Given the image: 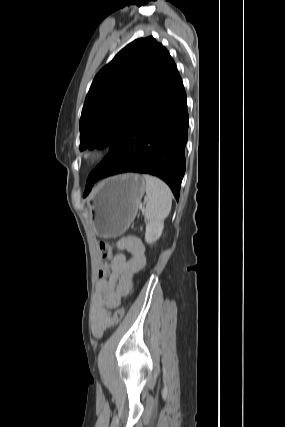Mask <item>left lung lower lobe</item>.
<instances>
[{
    "mask_svg": "<svg viewBox=\"0 0 285 427\" xmlns=\"http://www.w3.org/2000/svg\"><path fill=\"white\" fill-rule=\"evenodd\" d=\"M188 125L186 93L172 60L146 106L118 145L89 175L84 196L98 179L138 172L164 180L178 200L185 173Z\"/></svg>",
    "mask_w": 285,
    "mask_h": 427,
    "instance_id": "1",
    "label": "left lung lower lobe"
}]
</instances>
